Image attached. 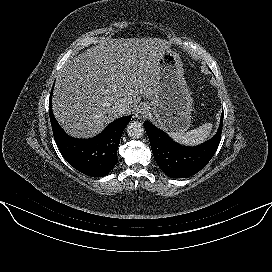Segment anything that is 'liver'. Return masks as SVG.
Listing matches in <instances>:
<instances>
[{
	"label": "liver",
	"instance_id": "6515ba94",
	"mask_svg": "<svg viewBox=\"0 0 272 272\" xmlns=\"http://www.w3.org/2000/svg\"><path fill=\"white\" fill-rule=\"evenodd\" d=\"M168 42L160 38L106 39L73 57L58 74L53 112L74 137L90 138L119 115L130 113L141 98L157 92L159 61Z\"/></svg>",
	"mask_w": 272,
	"mask_h": 272
}]
</instances>
